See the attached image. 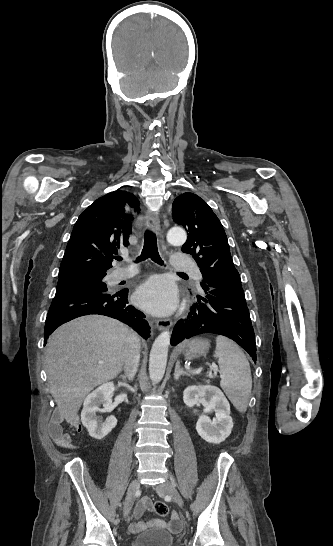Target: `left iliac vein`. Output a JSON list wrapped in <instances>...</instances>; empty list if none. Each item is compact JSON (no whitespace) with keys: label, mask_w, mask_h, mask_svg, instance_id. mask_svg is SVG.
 Returning a JSON list of instances; mask_svg holds the SVG:
<instances>
[{"label":"left iliac vein","mask_w":333,"mask_h":546,"mask_svg":"<svg viewBox=\"0 0 333 546\" xmlns=\"http://www.w3.org/2000/svg\"><path fill=\"white\" fill-rule=\"evenodd\" d=\"M156 492L160 495H169L171 496L181 507L183 506V500L170 481H166L158 486H156Z\"/></svg>","instance_id":"1"}]
</instances>
